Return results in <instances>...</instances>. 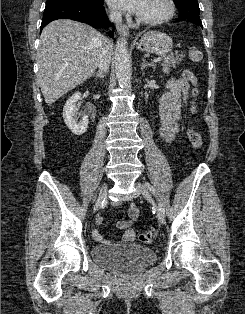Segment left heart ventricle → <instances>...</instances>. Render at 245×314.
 Wrapping results in <instances>:
<instances>
[{"label":"left heart ventricle","mask_w":245,"mask_h":314,"mask_svg":"<svg viewBox=\"0 0 245 314\" xmlns=\"http://www.w3.org/2000/svg\"><path fill=\"white\" fill-rule=\"evenodd\" d=\"M166 11L164 0H146L139 16L142 18H155L162 15Z\"/></svg>","instance_id":"b2bd125f"}]
</instances>
